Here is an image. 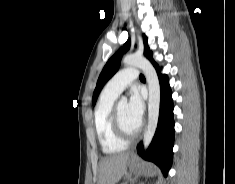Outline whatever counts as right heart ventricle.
Listing matches in <instances>:
<instances>
[{"label": "right heart ventricle", "mask_w": 235, "mask_h": 184, "mask_svg": "<svg viewBox=\"0 0 235 184\" xmlns=\"http://www.w3.org/2000/svg\"><path fill=\"white\" fill-rule=\"evenodd\" d=\"M115 96L103 93L94 110V129L103 152L113 155L126 149L127 143L114 132L112 125V110Z\"/></svg>", "instance_id": "right-heart-ventricle-1"}]
</instances>
